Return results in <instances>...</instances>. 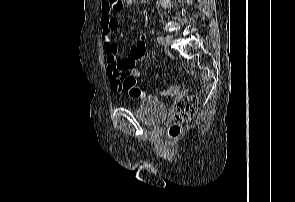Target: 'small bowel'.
Segmentation results:
<instances>
[{
    "label": "small bowel",
    "mask_w": 295,
    "mask_h": 202,
    "mask_svg": "<svg viewBox=\"0 0 295 202\" xmlns=\"http://www.w3.org/2000/svg\"><path fill=\"white\" fill-rule=\"evenodd\" d=\"M122 9L116 8L111 0H102L100 26L102 29V42L107 54V73L111 87L115 91L121 90V76L138 63L146 62L148 59L146 49V37L140 35L139 42L131 46L128 53L120 56L117 50L116 34L118 33V20L114 16V12ZM146 17V14L144 15Z\"/></svg>",
    "instance_id": "obj_1"
}]
</instances>
